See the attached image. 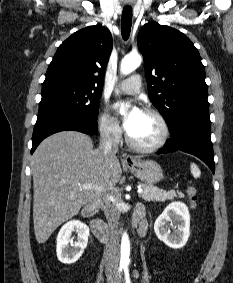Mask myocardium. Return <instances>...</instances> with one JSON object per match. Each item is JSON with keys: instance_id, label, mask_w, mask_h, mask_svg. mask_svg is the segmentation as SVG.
Listing matches in <instances>:
<instances>
[{"instance_id": "1", "label": "myocardium", "mask_w": 233, "mask_h": 283, "mask_svg": "<svg viewBox=\"0 0 233 283\" xmlns=\"http://www.w3.org/2000/svg\"><path fill=\"white\" fill-rule=\"evenodd\" d=\"M143 112L151 114L158 119V121L161 125V128H162L161 138L155 144L142 145V144H139L136 141H134L132 139V137L129 135V133L127 132L126 133V141L129 144V146H131L133 149L140 151V152L150 153V152L158 151L162 147H164V145L167 143V141L169 139L170 130H169L168 122L165 119V117L163 116V114L161 112H159L158 110L154 109V108L146 107V108L143 109Z\"/></svg>"}]
</instances>
